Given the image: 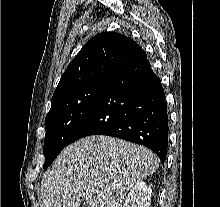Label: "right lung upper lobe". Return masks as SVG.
<instances>
[{"mask_svg": "<svg viewBox=\"0 0 220 207\" xmlns=\"http://www.w3.org/2000/svg\"><path fill=\"white\" fill-rule=\"evenodd\" d=\"M146 56L145 51L127 36L114 32L97 34L68 65L53 98L83 85L109 79Z\"/></svg>", "mask_w": 220, "mask_h": 207, "instance_id": "1", "label": "right lung upper lobe"}]
</instances>
